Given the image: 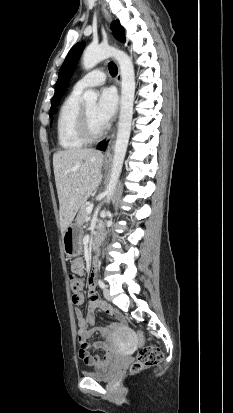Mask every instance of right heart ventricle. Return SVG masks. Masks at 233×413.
<instances>
[{
	"instance_id": "1",
	"label": "right heart ventricle",
	"mask_w": 233,
	"mask_h": 413,
	"mask_svg": "<svg viewBox=\"0 0 233 413\" xmlns=\"http://www.w3.org/2000/svg\"><path fill=\"white\" fill-rule=\"evenodd\" d=\"M82 91L73 89L63 101L57 117L58 145L65 151H75L86 145L78 133Z\"/></svg>"
}]
</instances>
